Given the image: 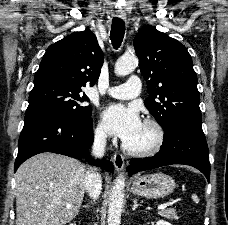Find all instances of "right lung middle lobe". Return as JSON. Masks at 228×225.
<instances>
[{
    "label": "right lung middle lobe",
    "mask_w": 228,
    "mask_h": 225,
    "mask_svg": "<svg viewBox=\"0 0 228 225\" xmlns=\"http://www.w3.org/2000/svg\"><path fill=\"white\" fill-rule=\"evenodd\" d=\"M82 88L60 82L35 84L29 95V106L26 115L56 111L82 120L92 114L90 106L81 104L89 98L81 93Z\"/></svg>",
    "instance_id": "obj_1"
}]
</instances>
